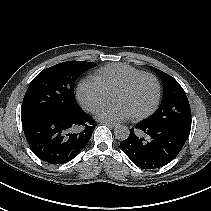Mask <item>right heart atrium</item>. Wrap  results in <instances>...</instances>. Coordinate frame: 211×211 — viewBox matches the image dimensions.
Returning a JSON list of instances; mask_svg holds the SVG:
<instances>
[{"label": "right heart atrium", "instance_id": "1", "mask_svg": "<svg viewBox=\"0 0 211 211\" xmlns=\"http://www.w3.org/2000/svg\"><path fill=\"white\" fill-rule=\"evenodd\" d=\"M110 94L96 78H86L77 87V97L89 112H96L109 99Z\"/></svg>", "mask_w": 211, "mask_h": 211}]
</instances>
